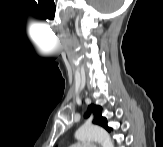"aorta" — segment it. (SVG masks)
<instances>
[{"label": "aorta", "instance_id": "obj_1", "mask_svg": "<svg viewBox=\"0 0 163 147\" xmlns=\"http://www.w3.org/2000/svg\"><path fill=\"white\" fill-rule=\"evenodd\" d=\"M79 141H98L102 147H114L109 133L97 125L84 124L75 134Z\"/></svg>", "mask_w": 163, "mask_h": 147}]
</instances>
